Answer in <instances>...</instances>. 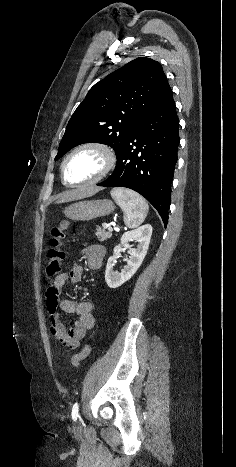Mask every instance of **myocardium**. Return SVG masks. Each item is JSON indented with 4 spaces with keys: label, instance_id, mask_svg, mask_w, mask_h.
<instances>
[{
    "label": "myocardium",
    "instance_id": "f54148a6",
    "mask_svg": "<svg viewBox=\"0 0 236 467\" xmlns=\"http://www.w3.org/2000/svg\"><path fill=\"white\" fill-rule=\"evenodd\" d=\"M86 149L96 150L103 156V158H104V167H103L102 171L95 178H93V179H91L89 181H86V182H81V183L68 182V180L66 178V166H67L69 160L76 153H78V152H80L82 150H86ZM116 163H117L116 152L112 148V146H110L109 144L104 143V142H99V141H92V142L83 143V144L77 146L76 148H74L67 155L65 160L63 161L62 168H61L62 180H63L64 184L66 186H69V187H83V186L92 185V184L98 183L101 180H103L104 178H106L111 173V171L115 168Z\"/></svg>",
    "mask_w": 236,
    "mask_h": 467
}]
</instances>
